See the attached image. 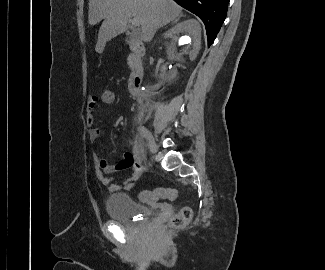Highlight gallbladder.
I'll return each mask as SVG.
<instances>
[{
    "label": "gallbladder",
    "mask_w": 325,
    "mask_h": 270,
    "mask_svg": "<svg viewBox=\"0 0 325 270\" xmlns=\"http://www.w3.org/2000/svg\"><path fill=\"white\" fill-rule=\"evenodd\" d=\"M127 37H128V39H130V40H137V39H138V35H137L136 33H134V32H132V33H127Z\"/></svg>",
    "instance_id": "1"
}]
</instances>
